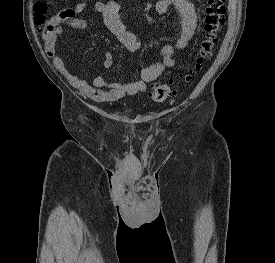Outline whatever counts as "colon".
I'll return each mask as SVG.
<instances>
[{"instance_id": "colon-1", "label": "colon", "mask_w": 275, "mask_h": 263, "mask_svg": "<svg viewBox=\"0 0 275 263\" xmlns=\"http://www.w3.org/2000/svg\"><path fill=\"white\" fill-rule=\"evenodd\" d=\"M225 0H205L204 36L198 50L191 59V65L181 74L168 77L163 82L152 86L149 97L157 103L164 102L176 94V88L189 83L193 77L201 71L215 49L225 25ZM48 7L46 0H39L34 6V19L37 25H45L47 22Z\"/></svg>"}]
</instances>
